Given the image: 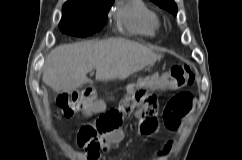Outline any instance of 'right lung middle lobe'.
<instances>
[{
  "mask_svg": "<svg viewBox=\"0 0 242 160\" xmlns=\"http://www.w3.org/2000/svg\"><path fill=\"white\" fill-rule=\"evenodd\" d=\"M114 0H95L83 4L65 3L59 28L73 36H88L102 28V21Z\"/></svg>",
  "mask_w": 242,
  "mask_h": 160,
  "instance_id": "dd1d6c3e",
  "label": "right lung middle lobe"
}]
</instances>
